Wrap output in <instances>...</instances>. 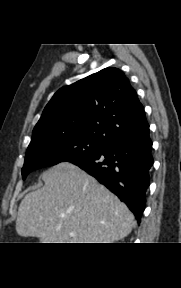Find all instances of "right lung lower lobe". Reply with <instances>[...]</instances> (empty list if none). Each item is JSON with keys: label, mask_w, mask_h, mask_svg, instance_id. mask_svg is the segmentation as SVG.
Listing matches in <instances>:
<instances>
[{"label": "right lung lower lobe", "mask_w": 181, "mask_h": 288, "mask_svg": "<svg viewBox=\"0 0 181 288\" xmlns=\"http://www.w3.org/2000/svg\"><path fill=\"white\" fill-rule=\"evenodd\" d=\"M152 141L116 142L106 145L100 152L72 161L105 185L135 215L138 223L146 204V191L150 184L153 165Z\"/></svg>", "instance_id": "right-lung-lower-lobe-1"}]
</instances>
